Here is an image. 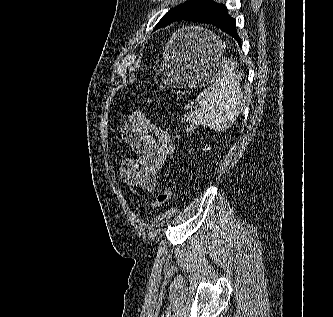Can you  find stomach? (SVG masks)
<instances>
[{"instance_id":"0dacf381","label":"stomach","mask_w":333,"mask_h":317,"mask_svg":"<svg viewBox=\"0 0 333 317\" xmlns=\"http://www.w3.org/2000/svg\"><path fill=\"white\" fill-rule=\"evenodd\" d=\"M218 38V33L206 32L201 24H186L172 35L162 66L164 81L175 85L169 88V95H200V88L210 82H238L215 80L216 74H223L219 70L226 69Z\"/></svg>"}]
</instances>
